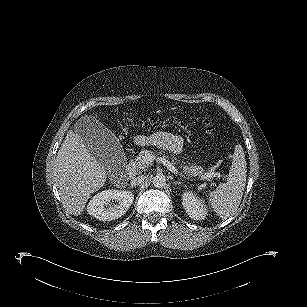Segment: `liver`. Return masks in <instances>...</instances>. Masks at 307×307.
Segmentation results:
<instances>
[{
    "mask_svg": "<svg viewBox=\"0 0 307 307\" xmlns=\"http://www.w3.org/2000/svg\"><path fill=\"white\" fill-rule=\"evenodd\" d=\"M107 169H115L114 160L106 167L86 148L78 132H68L52 172L61 200L70 214H82L91 194L104 186Z\"/></svg>",
    "mask_w": 307,
    "mask_h": 307,
    "instance_id": "1",
    "label": "liver"
}]
</instances>
